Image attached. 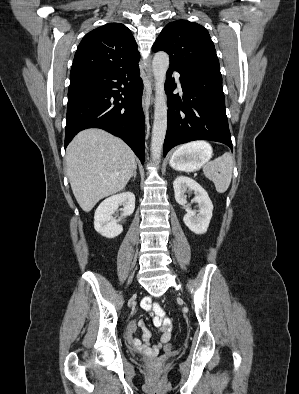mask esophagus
Segmentation results:
<instances>
[{"mask_svg": "<svg viewBox=\"0 0 299 394\" xmlns=\"http://www.w3.org/2000/svg\"><path fill=\"white\" fill-rule=\"evenodd\" d=\"M148 78H149L150 83L153 85V74H152V70L150 68L148 70ZM152 100H153V96L147 95V94L143 95L142 104H143L144 110L148 109V104L150 102H152Z\"/></svg>", "mask_w": 299, "mask_h": 394, "instance_id": "1", "label": "esophagus"}]
</instances>
